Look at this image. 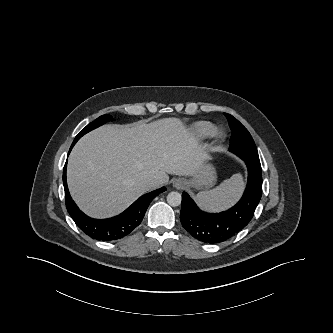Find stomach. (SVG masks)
Instances as JSON below:
<instances>
[{
  "mask_svg": "<svg viewBox=\"0 0 333 333\" xmlns=\"http://www.w3.org/2000/svg\"><path fill=\"white\" fill-rule=\"evenodd\" d=\"M215 182V169L205 161L198 170V172L194 176H192V178L187 181L186 184L187 186H191L196 189L207 190L212 187Z\"/></svg>",
  "mask_w": 333,
  "mask_h": 333,
  "instance_id": "stomach-1",
  "label": "stomach"
}]
</instances>
